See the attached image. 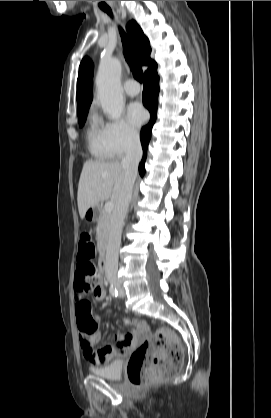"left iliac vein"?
<instances>
[{"instance_id":"obj_1","label":"left iliac vein","mask_w":271,"mask_h":418,"mask_svg":"<svg viewBox=\"0 0 271 418\" xmlns=\"http://www.w3.org/2000/svg\"><path fill=\"white\" fill-rule=\"evenodd\" d=\"M118 291H119V296L120 297H124L125 296V291L120 286H118Z\"/></svg>"}]
</instances>
